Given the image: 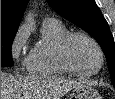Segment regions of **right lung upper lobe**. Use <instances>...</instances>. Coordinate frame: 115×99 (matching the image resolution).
Instances as JSON below:
<instances>
[{"mask_svg":"<svg viewBox=\"0 0 115 99\" xmlns=\"http://www.w3.org/2000/svg\"><path fill=\"white\" fill-rule=\"evenodd\" d=\"M29 0H1V32L16 33Z\"/></svg>","mask_w":115,"mask_h":99,"instance_id":"obj_1","label":"right lung upper lobe"}]
</instances>
